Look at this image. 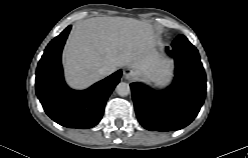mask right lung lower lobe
Instances as JSON below:
<instances>
[{"instance_id":"right-lung-lower-lobe-1","label":"right lung lower lobe","mask_w":248,"mask_h":158,"mask_svg":"<svg viewBox=\"0 0 248 158\" xmlns=\"http://www.w3.org/2000/svg\"><path fill=\"white\" fill-rule=\"evenodd\" d=\"M68 26L46 47L36 71V94L47 115L58 124L87 129L102 118L106 101L121 77V70L89 89L75 91L64 82L61 52L70 32Z\"/></svg>"}]
</instances>
